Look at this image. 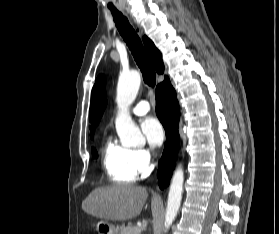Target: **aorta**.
<instances>
[{"instance_id": "aorta-1", "label": "aorta", "mask_w": 279, "mask_h": 234, "mask_svg": "<svg viewBox=\"0 0 279 234\" xmlns=\"http://www.w3.org/2000/svg\"><path fill=\"white\" fill-rule=\"evenodd\" d=\"M140 84L141 76L136 70L123 72L119 76L116 96L119 112L116 117L115 127L122 145L126 147L135 146L144 141L143 135L128 112L129 106L137 96ZM183 183L184 172L182 166L179 165L173 174L168 192L164 232H167L178 214L182 200Z\"/></svg>"}]
</instances>
